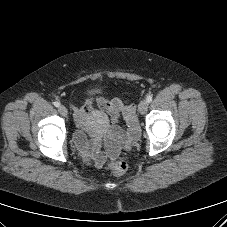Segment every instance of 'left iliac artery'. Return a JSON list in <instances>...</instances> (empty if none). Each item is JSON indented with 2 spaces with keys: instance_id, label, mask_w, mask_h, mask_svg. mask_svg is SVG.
Returning <instances> with one entry per match:
<instances>
[{
  "instance_id": "44dca946",
  "label": "left iliac artery",
  "mask_w": 227,
  "mask_h": 227,
  "mask_svg": "<svg viewBox=\"0 0 227 227\" xmlns=\"http://www.w3.org/2000/svg\"><path fill=\"white\" fill-rule=\"evenodd\" d=\"M147 102H151L152 101V96L151 95H148L147 98H146Z\"/></svg>"
}]
</instances>
